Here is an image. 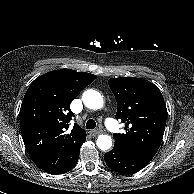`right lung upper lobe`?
Listing matches in <instances>:
<instances>
[{
    "label": "right lung upper lobe",
    "instance_id": "cb5924a9",
    "mask_svg": "<svg viewBox=\"0 0 194 194\" xmlns=\"http://www.w3.org/2000/svg\"><path fill=\"white\" fill-rule=\"evenodd\" d=\"M96 75L60 69L45 73L29 86L20 108V129L33 162L55 173L80 151L86 133L78 124L69 131L70 102Z\"/></svg>",
    "mask_w": 194,
    "mask_h": 194
}]
</instances>
